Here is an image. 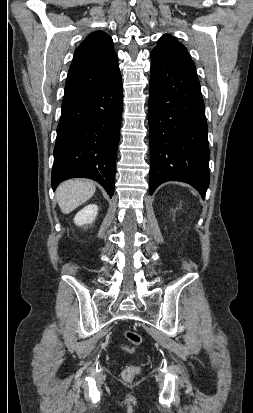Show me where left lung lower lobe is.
Returning a JSON list of instances; mask_svg holds the SVG:
<instances>
[{
    "label": "left lung lower lobe",
    "mask_w": 253,
    "mask_h": 413,
    "mask_svg": "<svg viewBox=\"0 0 253 413\" xmlns=\"http://www.w3.org/2000/svg\"><path fill=\"white\" fill-rule=\"evenodd\" d=\"M150 57L149 193L166 181H181L204 198L210 151L199 80L158 51Z\"/></svg>",
    "instance_id": "1"
}]
</instances>
